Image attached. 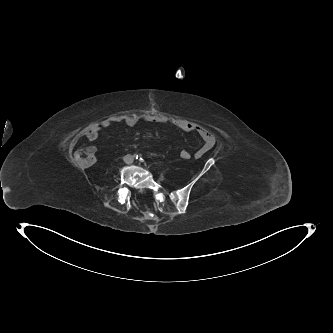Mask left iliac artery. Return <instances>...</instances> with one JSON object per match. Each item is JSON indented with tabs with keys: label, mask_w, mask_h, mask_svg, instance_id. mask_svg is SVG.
Returning a JSON list of instances; mask_svg holds the SVG:
<instances>
[{
	"label": "left iliac artery",
	"mask_w": 333,
	"mask_h": 333,
	"mask_svg": "<svg viewBox=\"0 0 333 333\" xmlns=\"http://www.w3.org/2000/svg\"><path fill=\"white\" fill-rule=\"evenodd\" d=\"M136 158H138V155H137V157H136ZM139 159H140L141 161H143V159H142L141 157H140Z\"/></svg>",
	"instance_id": "obj_1"
}]
</instances>
